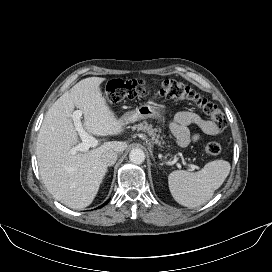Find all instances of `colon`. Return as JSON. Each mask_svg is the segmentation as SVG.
Returning <instances> with one entry per match:
<instances>
[{
  "label": "colon",
  "instance_id": "5ec220e1",
  "mask_svg": "<svg viewBox=\"0 0 272 272\" xmlns=\"http://www.w3.org/2000/svg\"><path fill=\"white\" fill-rule=\"evenodd\" d=\"M149 89L148 84L141 79H114L107 83L104 98L110 102H119L143 96L149 92ZM158 93L171 100L193 102L212 120L218 130H223L227 126V118L216 104L203 98L180 81H162L158 85ZM204 151L207 156L214 157L221 152V146L218 142L212 141L206 144Z\"/></svg>",
  "mask_w": 272,
  "mask_h": 272
}]
</instances>
